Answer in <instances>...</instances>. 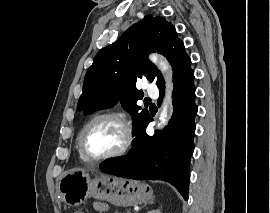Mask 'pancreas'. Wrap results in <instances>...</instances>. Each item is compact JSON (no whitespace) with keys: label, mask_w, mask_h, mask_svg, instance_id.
<instances>
[{"label":"pancreas","mask_w":270,"mask_h":213,"mask_svg":"<svg viewBox=\"0 0 270 213\" xmlns=\"http://www.w3.org/2000/svg\"><path fill=\"white\" fill-rule=\"evenodd\" d=\"M116 213H121V212H116ZM125 213H130V212L128 211V212H125Z\"/></svg>","instance_id":"1"}]
</instances>
